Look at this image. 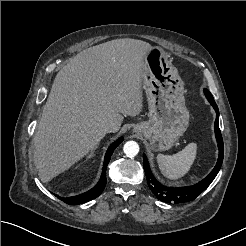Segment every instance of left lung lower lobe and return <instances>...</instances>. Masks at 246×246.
Wrapping results in <instances>:
<instances>
[{"label":"left lung lower lobe","instance_id":"1","mask_svg":"<svg viewBox=\"0 0 246 246\" xmlns=\"http://www.w3.org/2000/svg\"><path fill=\"white\" fill-rule=\"evenodd\" d=\"M204 94L206 95L208 101L213 106V108L216 111V120H215V136L218 142V148H219V157L216 166L211 171V173L202 181L199 183L190 186V187H179V188H172V187H166L160 184L155 177L153 176L148 160L145 155H143V167L146 173L147 183L151 191L154 193V195L161 201L167 202V203H183L194 200L197 196H199L214 180L216 175L218 174L222 162H223V139L222 135L219 129V111L218 107L214 101V98L212 94L209 92V90L204 89Z\"/></svg>","mask_w":246,"mask_h":246}]
</instances>
